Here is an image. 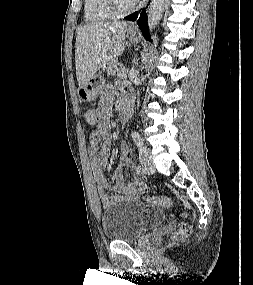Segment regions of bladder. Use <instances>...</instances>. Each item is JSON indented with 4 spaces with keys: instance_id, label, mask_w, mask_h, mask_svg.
Instances as JSON below:
<instances>
[{
    "instance_id": "31cf9c89",
    "label": "bladder",
    "mask_w": 253,
    "mask_h": 285,
    "mask_svg": "<svg viewBox=\"0 0 253 285\" xmlns=\"http://www.w3.org/2000/svg\"><path fill=\"white\" fill-rule=\"evenodd\" d=\"M166 219L163 210L137 201H123L108 207L102 214V231L106 239L131 242Z\"/></svg>"
}]
</instances>
